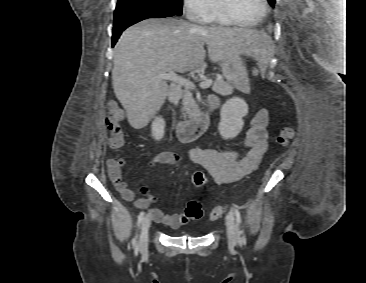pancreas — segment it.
Listing matches in <instances>:
<instances>
[{"instance_id":"1","label":"pancreas","mask_w":366,"mask_h":283,"mask_svg":"<svg viewBox=\"0 0 366 283\" xmlns=\"http://www.w3.org/2000/svg\"><path fill=\"white\" fill-rule=\"evenodd\" d=\"M212 90L217 94L227 96L233 93V86L223 79L217 78L212 86ZM183 106V110L186 111V113L188 114H192L196 110L197 105L192 96V93L188 91H185L183 93Z\"/></svg>"}]
</instances>
